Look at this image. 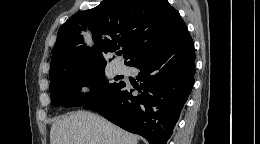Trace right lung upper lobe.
Instances as JSON below:
<instances>
[{"mask_svg": "<svg viewBox=\"0 0 260 144\" xmlns=\"http://www.w3.org/2000/svg\"><path fill=\"white\" fill-rule=\"evenodd\" d=\"M87 26L93 33V48L83 44L81 32ZM187 34L179 12L167 0H105L96 8L76 13L60 27L49 75L105 66L106 55L120 48L128 65Z\"/></svg>", "mask_w": 260, "mask_h": 144, "instance_id": "right-lung-upper-lobe-1", "label": "right lung upper lobe"}]
</instances>
